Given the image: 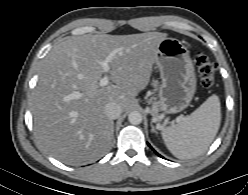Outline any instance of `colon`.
<instances>
[{
    "label": "colon",
    "instance_id": "obj_1",
    "mask_svg": "<svg viewBox=\"0 0 248 195\" xmlns=\"http://www.w3.org/2000/svg\"><path fill=\"white\" fill-rule=\"evenodd\" d=\"M195 62L201 85L205 88H211L215 82L216 65L203 53H197Z\"/></svg>",
    "mask_w": 248,
    "mask_h": 195
}]
</instances>
